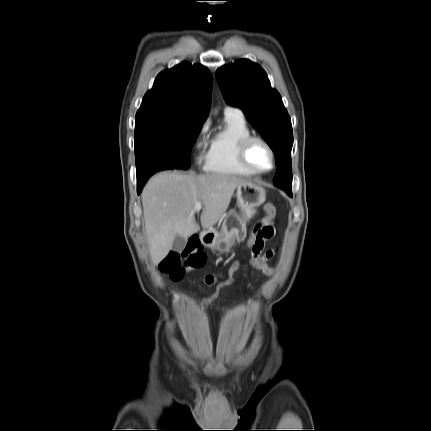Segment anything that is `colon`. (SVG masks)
Returning a JSON list of instances; mask_svg holds the SVG:
<instances>
[{
  "mask_svg": "<svg viewBox=\"0 0 431 431\" xmlns=\"http://www.w3.org/2000/svg\"><path fill=\"white\" fill-rule=\"evenodd\" d=\"M266 216L255 226L253 234L249 235L246 250L252 251L257 237L267 234L276 215V208L272 203L264 205ZM205 262V254L199 249L196 241H190L182 251H172L161 262V269L173 279H181L191 269L198 268Z\"/></svg>",
  "mask_w": 431,
  "mask_h": 431,
  "instance_id": "obj_1",
  "label": "colon"
}]
</instances>
